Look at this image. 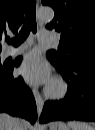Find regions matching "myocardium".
Instances as JSON below:
<instances>
[{
  "mask_svg": "<svg viewBox=\"0 0 95 130\" xmlns=\"http://www.w3.org/2000/svg\"><path fill=\"white\" fill-rule=\"evenodd\" d=\"M68 92V85L61 77H54L45 89V95L54 100L62 99Z\"/></svg>",
  "mask_w": 95,
  "mask_h": 130,
  "instance_id": "1",
  "label": "myocardium"
}]
</instances>
